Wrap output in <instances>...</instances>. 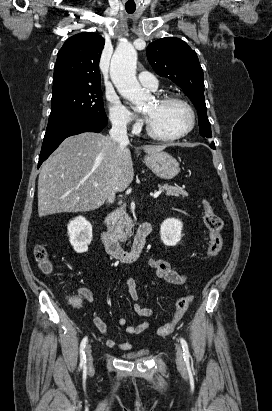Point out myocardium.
I'll return each instance as SVG.
<instances>
[{"label":"myocardium","mask_w":272,"mask_h":411,"mask_svg":"<svg viewBox=\"0 0 272 411\" xmlns=\"http://www.w3.org/2000/svg\"><path fill=\"white\" fill-rule=\"evenodd\" d=\"M157 102L159 103H179L182 104L189 112L190 115V122L188 127L181 133L177 134V135H173V136H165V135H161L157 132H155L152 127L149 125V123L147 122L146 124V133L153 139L158 140V141H163V142H173V141H177L180 140L184 137H186L187 135H189L193 129L195 128L196 125V114H195V110L192 107V105L185 99L179 97V96H175V95H160L157 97L156 99Z\"/></svg>","instance_id":"f54148a6"}]
</instances>
